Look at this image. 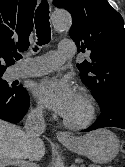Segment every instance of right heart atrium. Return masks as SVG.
I'll list each match as a JSON object with an SVG mask.
<instances>
[{"instance_id":"right-heart-atrium-1","label":"right heart atrium","mask_w":125,"mask_h":167,"mask_svg":"<svg viewBox=\"0 0 125 167\" xmlns=\"http://www.w3.org/2000/svg\"><path fill=\"white\" fill-rule=\"evenodd\" d=\"M32 114L37 117V118H41L43 117L44 114V110L43 107L40 105H36L33 109H32Z\"/></svg>"}]
</instances>
